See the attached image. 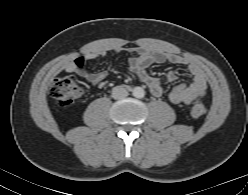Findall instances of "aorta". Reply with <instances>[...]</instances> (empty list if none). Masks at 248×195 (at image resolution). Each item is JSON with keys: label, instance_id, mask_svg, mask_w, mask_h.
<instances>
[{"label": "aorta", "instance_id": "aorta-1", "mask_svg": "<svg viewBox=\"0 0 248 195\" xmlns=\"http://www.w3.org/2000/svg\"><path fill=\"white\" fill-rule=\"evenodd\" d=\"M133 95L136 97V98H143L145 96V91L143 88L141 87H135L133 89Z\"/></svg>", "mask_w": 248, "mask_h": 195}]
</instances>
